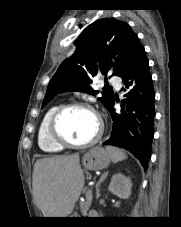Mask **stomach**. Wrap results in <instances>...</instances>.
<instances>
[{
	"mask_svg": "<svg viewBox=\"0 0 181 227\" xmlns=\"http://www.w3.org/2000/svg\"><path fill=\"white\" fill-rule=\"evenodd\" d=\"M111 162L108 151L102 147H94L86 152L82 157V165L87 170H102ZM76 217V216H70Z\"/></svg>",
	"mask_w": 181,
	"mask_h": 227,
	"instance_id": "0dacf381",
	"label": "stomach"
}]
</instances>
